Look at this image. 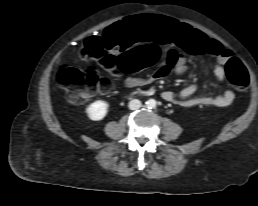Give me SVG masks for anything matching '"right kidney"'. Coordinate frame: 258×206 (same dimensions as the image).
<instances>
[{
    "label": "right kidney",
    "mask_w": 258,
    "mask_h": 206,
    "mask_svg": "<svg viewBox=\"0 0 258 206\" xmlns=\"http://www.w3.org/2000/svg\"><path fill=\"white\" fill-rule=\"evenodd\" d=\"M109 105L105 101L98 100L93 103H91L86 108V113L88 117L93 121H99L102 120L107 112H108Z\"/></svg>",
    "instance_id": "obj_1"
}]
</instances>
